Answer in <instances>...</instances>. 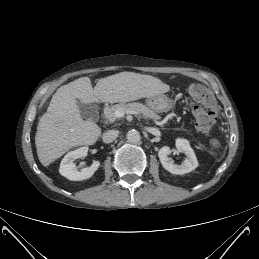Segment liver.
<instances>
[{
    "instance_id": "1",
    "label": "liver",
    "mask_w": 259,
    "mask_h": 259,
    "mask_svg": "<svg viewBox=\"0 0 259 259\" xmlns=\"http://www.w3.org/2000/svg\"><path fill=\"white\" fill-rule=\"evenodd\" d=\"M169 89L156 77L134 72L101 78L94 89L88 77L59 87L37 126L35 144L39 161L47 167L70 148L97 141L101 129L93 121L82 119L77 100L84 104L128 102L161 95Z\"/></svg>"
}]
</instances>
